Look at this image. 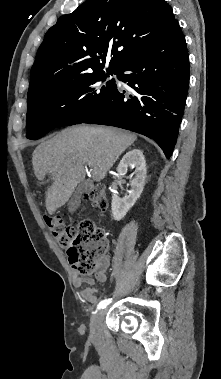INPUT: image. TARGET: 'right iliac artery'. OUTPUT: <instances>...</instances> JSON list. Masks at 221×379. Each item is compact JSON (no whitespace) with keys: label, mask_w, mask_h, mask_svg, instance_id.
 I'll use <instances>...</instances> for the list:
<instances>
[{"label":"right iliac artery","mask_w":221,"mask_h":379,"mask_svg":"<svg viewBox=\"0 0 221 379\" xmlns=\"http://www.w3.org/2000/svg\"><path fill=\"white\" fill-rule=\"evenodd\" d=\"M111 302H112V298L104 299L99 302V304L97 305V309H103Z\"/></svg>","instance_id":"82829eb1"}]
</instances>
